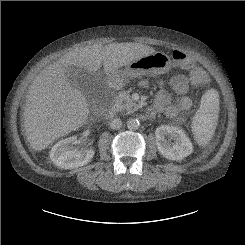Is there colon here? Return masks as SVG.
<instances>
[{
  "label": "colon",
  "mask_w": 245,
  "mask_h": 245,
  "mask_svg": "<svg viewBox=\"0 0 245 245\" xmlns=\"http://www.w3.org/2000/svg\"><path fill=\"white\" fill-rule=\"evenodd\" d=\"M172 58L174 63L181 69L189 71L190 82L194 86H205L209 82V78L205 70L196 65L190 55L174 50L172 52ZM210 151V147L206 148L203 152V156H207Z\"/></svg>",
  "instance_id": "1"
}]
</instances>
